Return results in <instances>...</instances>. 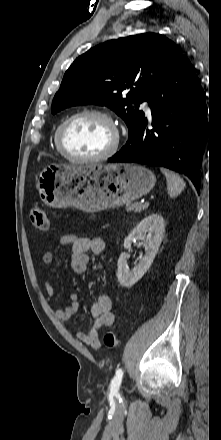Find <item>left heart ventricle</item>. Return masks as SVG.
Segmentation results:
<instances>
[{
    "mask_svg": "<svg viewBox=\"0 0 221 440\" xmlns=\"http://www.w3.org/2000/svg\"><path fill=\"white\" fill-rule=\"evenodd\" d=\"M113 141L109 123L101 117L83 116L65 129L64 145L76 157H93L106 151Z\"/></svg>",
    "mask_w": 221,
    "mask_h": 440,
    "instance_id": "obj_1",
    "label": "left heart ventricle"
}]
</instances>
